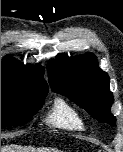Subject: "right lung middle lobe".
<instances>
[{"mask_svg": "<svg viewBox=\"0 0 123 152\" xmlns=\"http://www.w3.org/2000/svg\"><path fill=\"white\" fill-rule=\"evenodd\" d=\"M47 93L21 92L17 87L1 83V126L27 123L42 108Z\"/></svg>", "mask_w": 123, "mask_h": 152, "instance_id": "obj_1", "label": "right lung middle lobe"}]
</instances>
